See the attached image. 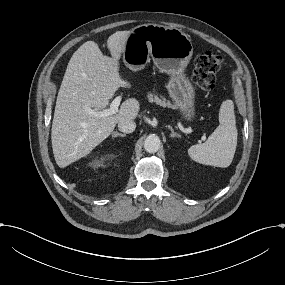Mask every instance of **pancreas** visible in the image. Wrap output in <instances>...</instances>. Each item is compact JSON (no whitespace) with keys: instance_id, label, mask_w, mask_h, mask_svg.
<instances>
[{"instance_id":"1","label":"pancreas","mask_w":285,"mask_h":285,"mask_svg":"<svg viewBox=\"0 0 285 285\" xmlns=\"http://www.w3.org/2000/svg\"><path fill=\"white\" fill-rule=\"evenodd\" d=\"M148 101L149 102H154L157 105H160L162 107H168L171 109H176L177 107L175 105H173L169 100H166V98L162 97V96H157V95H153L152 93L148 94Z\"/></svg>"}]
</instances>
